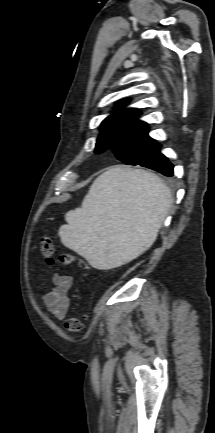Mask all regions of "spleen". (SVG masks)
<instances>
[{"mask_svg":"<svg viewBox=\"0 0 215 433\" xmlns=\"http://www.w3.org/2000/svg\"><path fill=\"white\" fill-rule=\"evenodd\" d=\"M171 202L155 174L114 166L94 181L80 208L66 213L59 236L91 266L115 268L153 244Z\"/></svg>","mask_w":215,"mask_h":433,"instance_id":"obj_1","label":"spleen"}]
</instances>
